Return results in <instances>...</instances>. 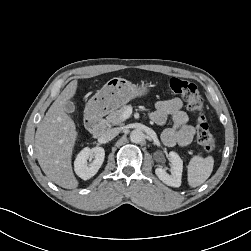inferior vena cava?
Masks as SVG:
<instances>
[{
    "label": "inferior vena cava",
    "mask_w": 251,
    "mask_h": 251,
    "mask_svg": "<svg viewBox=\"0 0 251 251\" xmlns=\"http://www.w3.org/2000/svg\"><path fill=\"white\" fill-rule=\"evenodd\" d=\"M120 133V129L119 128H112V129H108L106 130L103 135H102V140L104 142H109L111 141L113 138H115L118 134Z\"/></svg>",
    "instance_id": "602c4592"
}]
</instances>
